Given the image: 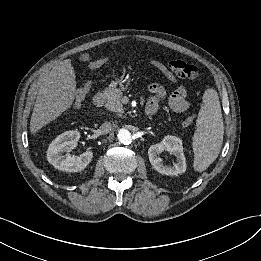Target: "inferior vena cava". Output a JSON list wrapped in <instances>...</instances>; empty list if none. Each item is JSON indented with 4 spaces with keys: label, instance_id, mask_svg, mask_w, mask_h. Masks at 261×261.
<instances>
[{
    "label": "inferior vena cava",
    "instance_id": "obj_1",
    "mask_svg": "<svg viewBox=\"0 0 261 261\" xmlns=\"http://www.w3.org/2000/svg\"><path fill=\"white\" fill-rule=\"evenodd\" d=\"M112 129H113L112 124L110 122H105L100 126L99 131L101 134H107L111 132Z\"/></svg>",
    "mask_w": 261,
    "mask_h": 261
}]
</instances>
